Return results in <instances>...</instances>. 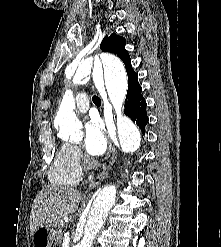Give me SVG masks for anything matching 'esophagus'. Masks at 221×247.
Returning <instances> with one entry per match:
<instances>
[{
    "label": "esophagus",
    "instance_id": "obj_1",
    "mask_svg": "<svg viewBox=\"0 0 221 247\" xmlns=\"http://www.w3.org/2000/svg\"><path fill=\"white\" fill-rule=\"evenodd\" d=\"M106 107V106H105ZM105 117H106V112H105ZM115 162V151L112 150V157L111 160L109 162V164L107 165V167L90 183L89 185V190L94 189L96 186H98L103 179L107 176L109 170L111 169V167L113 166Z\"/></svg>",
    "mask_w": 221,
    "mask_h": 247
}]
</instances>
